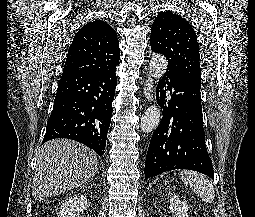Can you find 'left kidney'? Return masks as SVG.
Returning <instances> with one entry per match:
<instances>
[{"mask_svg":"<svg viewBox=\"0 0 255 217\" xmlns=\"http://www.w3.org/2000/svg\"><path fill=\"white\" fill-rule=\"evenodd\" d=\"M170 212L175 214V217H188L187 211L189 206L187 203L181 202L177 194H170Z\"/></svg>","mask_w":255,"mask_h":217,"instance_id":"obj_1","label":"left kidney"}]
</instances>
